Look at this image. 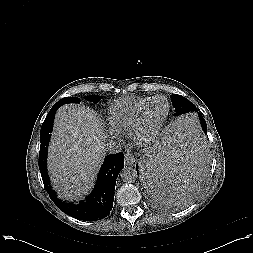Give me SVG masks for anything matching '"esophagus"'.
Returning <instances> with one entry per match:
<instances>
[{
	"label": "esophagus",
	"instance_id": "34e87169",
	"mask_svg": "<svg viewBox=\"0 0 253 253\" xmlns=\"http://www.w3.org/2000/svg\"><path fill=\"white\" fill-rule=\"evenodd\" d=\"M136 161L135 156L132 153H126L124 156V163L125 165H132Z\"/></svg>",
	"mask_w": 253,
	"mask_h": 253
}]
</instances>
